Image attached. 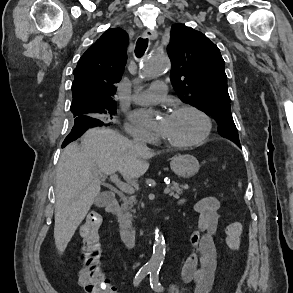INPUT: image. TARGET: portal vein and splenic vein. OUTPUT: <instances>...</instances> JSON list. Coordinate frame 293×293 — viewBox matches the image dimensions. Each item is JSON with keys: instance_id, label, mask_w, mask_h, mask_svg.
<instances>
[{"instance_id": "1", "label": "portal vein and splenic vein", "mask_w": 293, "mask_h": 293, "mask_svg": "<svg viewBox=\"0 0 293 293\" xmlns=\"http://www.w3.org/2000/svg\"><path fill=\"white\" fill-rule=\"evenodd\" d=\"M102 177V176H101ZM110 180L112 183H114L121 191L127 193V194H133L134 193V188L127 184L122 182L116 174H111L110 175ZM170 192L169 188L164 189V194H168Z\"/></svg>"}]
</instances>
